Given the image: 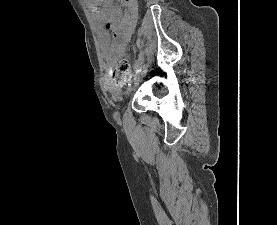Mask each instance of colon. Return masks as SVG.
<instances>
[{
	"instance_id": "5ec220e1",
	"label": "colon",
	"mask_w": 277,
	"mask_h": 225,
	"mask_svg": "<svg viewBox=\"0 0 277 225\" xmlns=\"http://www.w3.org/2000/svg\"><path fill=\"white\" fill-rule=\"evenodd\" d=\"M130 78V64L126 60H120L114 68L113 80L117 84H124Z\"/></svg>"
}]
</instances>
